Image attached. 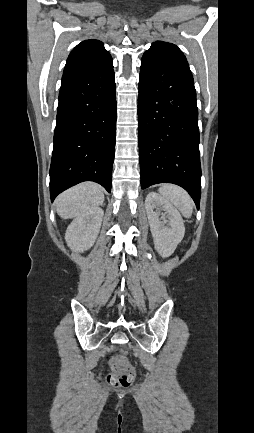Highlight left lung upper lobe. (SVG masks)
<instances>
[{
  "label": "left lung upper lobe",
  "mask_w": 254,
  "mask_h": 433,
  "mask_svg": "<svg viewBox=\"0 0 254 433\" xmlns=\"http://www.w3.org/2000/svg\"><path fill=\"white\" fill-rule=\"evenodd\" d=\"M143 56H152L190 71L186 57L182 51L172 43L156 41Z\"/></svg>",
  "instance_id": "5c2ea615"
}]
</instances>
